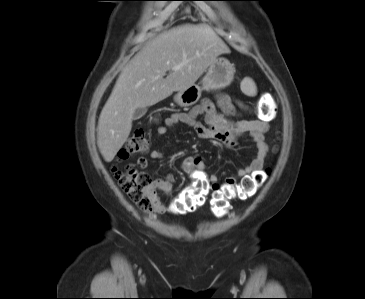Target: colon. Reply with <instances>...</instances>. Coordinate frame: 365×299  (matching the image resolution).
Wrapping results in <instances>:
<instances>
[{"label":"colon","mask_w":365,"mask_h":299,"mask_svg":"<svg viewBox=\"0 0 365 299\" xmlns=\"http://www.w3.org/2000/svg\"><path fill=\"white\" fill-rule=\"evenodd\" d=\"M263 118H270L273 110L263 105L259 109ZM149 143L143 129H136L124 147L117 154L119 160H126L135 153L148 150ZM114 177L120 188L129 199L144 211L152 210L155 202L154 192L146 175L138 171L133 165L124 168H113ZM269 170L258 171L245 176L239 183H227L222 186L210 185L196 181L187 186L172 203V212L183 214L195 211L202 206L207 195L212 191L211 211L215 216H222L227 211L228 201L231 199H247L252 197L268 178Z\"/></svg>","instance_id":"obj_1"}]
</instances>
